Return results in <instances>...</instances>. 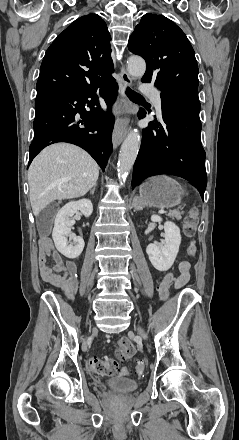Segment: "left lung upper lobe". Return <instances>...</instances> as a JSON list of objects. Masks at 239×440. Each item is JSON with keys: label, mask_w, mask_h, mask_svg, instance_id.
<instances>
[{"label": "left lung upper lobe", "mask_w": 239, "mask_h": 440, "mask_svg": "<svg viewBox=\"0 0 239 440\" xmlns=\"http://www.w3.org/2000/svg\"><path fill=\"white\" fill-rule=\"evenodd\" d=\"M129 50L146 61L143 82L154 81L160 91H198V66L184 32L170 19L145 14L129 38Z\"/></svg>", "instance_id": "obj_1"}]
</instances>
